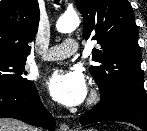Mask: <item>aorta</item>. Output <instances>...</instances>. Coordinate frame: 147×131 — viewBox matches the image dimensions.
Wrapping results in <instances>:
<instances>
[{
	"instance_id": "1",
	"label": "aorta",
	"mask_w": 147,
	"mask_h": 131,
	"mask_svg": "<svg viewBox=\"0 0 147 131\" xmlns=\"http://www.w3.org/2000/svg\"><path fill=\"white\" fill-rule=\"evenodd\" d=\"M80 23L76 13H64L57 21L56 28L61 33H69L75 30Z\"/></svg>"
}]
</instances>
